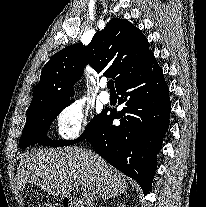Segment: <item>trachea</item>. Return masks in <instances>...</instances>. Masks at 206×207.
<instances>
[{
	"mask_svg": "<svg viewBox=\"0 0 206 207\" xmlns=\"http://www.w3.org/2000/svg\"><path fill=\"white\" fill-rule=\"evenodd\" d=\"M107 87L110 89V91H115L113 80L108 81Z\"/></svg>",
	"mask_w": 206,
	"mask_h": 207,
	"instance_id": "trachea-1",
	"label": "trachea"
}]
</instances>
